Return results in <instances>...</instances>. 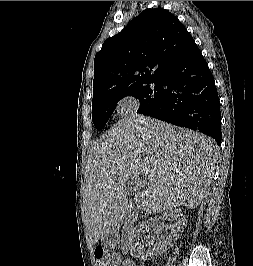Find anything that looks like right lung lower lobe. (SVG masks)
I'll return each instance as SVG.
<instances>
[{
    "mask_svg": "<svg viewBox=\"0 0 253 266\" xmlns=\"http://www.w3.org/2000/svg\"><path fill=\"white\" fill-rule=\"evenodd\" d=\"M160 104L147 116L198 130L221 144V112L214 77L198 50L162 79Z\"/></svg>",
    "mask_w": 253,
    "mask_h": 266,
    "instance_id": "obj_1",
    "label": "right lung lower lobe"
}]
</instances>
